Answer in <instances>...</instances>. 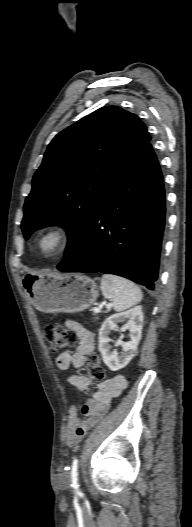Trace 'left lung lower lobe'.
I'll return each instance as SVG.
<instances>
[{"mask_svg":"<svg viewBox=\"0 0 192 527\" xmlns=\"http://www.w3.org/2000/svg\"><path fill=\"white\" fill-rule=\"evenodd\" d=\"M164 225L163 178L149 143L111 184L57 268L115 274L153 290Z\"/></svg>","mask_w":192,"mask_h":527,"instance_id":"left-lung-lower-lobe-1","label":"left lung lower lobe"}]
</instances>
